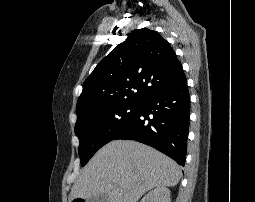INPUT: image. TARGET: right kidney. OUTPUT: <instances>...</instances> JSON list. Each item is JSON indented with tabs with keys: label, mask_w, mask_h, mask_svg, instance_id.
<instances>
[{
	"label": "right kidney",
	"mask_w": 255,
	"mask_h": 202,
	"mask_svg": "<svg viewBox=\"0 0 255 202\" xmlns=\"http://www.w3.org/2000/svg\"><path fill=\"white\" fill-rule=\"evenodd\" d=\"M140 202H171L170 190L166 187H157L145 195Z\"/></svg>",
	"instance_id": "1"
}]
</instances>
